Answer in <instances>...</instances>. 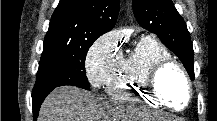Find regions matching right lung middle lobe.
Wrapping results in <instances>:
<instances>
[{"instance_id": "dd1d6c3e", "label": "right lung middle lobe", "mask_w": 217, "mask_h": 121, "mask_svg": "<svg viewBox=\"0 0 217 121\" xmlns=\"http://www.w3.org/2000/svg\"><path fill=\"white\" fill-rule=\"evenodd\" d=\"M95 40H70L45 36L32 96L63 85L88 90L90 86L85 74V57Z\"/></svg>"}]
</instances>
